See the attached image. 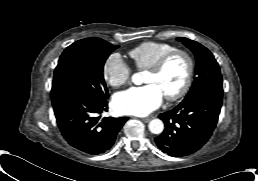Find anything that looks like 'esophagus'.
I'll return each instance as SVG.
<instances>
[{
  "label": "esophagus",
  "instance_id": "1",
  "mask_svg": "<svg viewBox=\"0 0 258 181\" xmlns=\"http://www.w3.org/2000/svg\"><path fill=\"white\" fill-rule=\"evenodd\" d=\"M152 116H149V117H145V118H142L141 120L145 123H148L150 120H152Z\"/></svg>",
  "mask_w": 258,
  "mask_h": 181
}]
</instances>
